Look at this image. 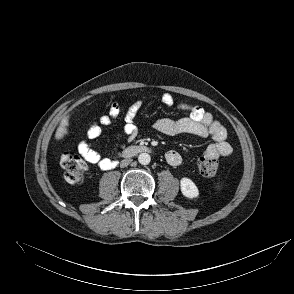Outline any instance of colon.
I'll return each instance as SVG.
<instances>
[{"instance_id":"1","label":"colon","mask_w":294,"mask_h":294,"mask_svg":"<svg viewBox=\"0 0 294 294\" xmlns=\"http://www.w3.org/2000/svg\"><path fill=\"white\" fill-rule=\"evenodd\" d=\"M59 162L64 169V177L68 183L79 184L82 182L87 165L78 154L63 152ZM198 169L203 176L212 177L218 170V160L211 156L202 155L198 160Z\"/></svg>"}]
</instances>
